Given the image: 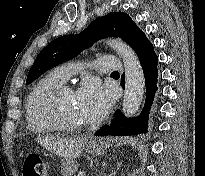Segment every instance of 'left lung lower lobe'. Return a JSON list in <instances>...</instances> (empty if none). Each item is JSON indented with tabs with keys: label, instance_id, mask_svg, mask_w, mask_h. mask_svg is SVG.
<instances>
[{
	"label": "left lung lower lobe",
	"instance_id": "0a47b994",
	"mask_svg": "<svg viewBox=\"0 0 205 176\" xmlns=\"http://www.w3.org/2000/svg\"><path fill=\"white\" fill-rule=\"evenodd\" d=\"M128 44L136 52L145 77L146 101L144 109L141 115L132 118H126L118 109L111 122L100 128L95 133V136L137 135L147 132L149 111L157 90L158 58L154 52L152 43L139 28L133 31ZM121 84L124 87V79Z\"/></svg>",
	"mask_w": 205,
	"mask_h": 176
}]
</instances>
